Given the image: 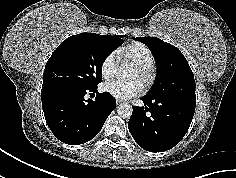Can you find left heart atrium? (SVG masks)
Masks as SVG:
<instances>
[{
	"instance_id": "1",
	"label": "left heart atrium",
	"mask_w": 236,
	"mask_h": 178,
	"mask_svg": "<svg viewBox=\"0 0 236 178\" xmlns=\"http://www.w3.org/2000/svg\"><path fill=\"white\" fill-rule=\"evenodd\" d=\"M103 90L117 99L126 100L138 95L142 90V84L136 79L112 80L103 85Z\"/></svg>"
}]
</instances>
